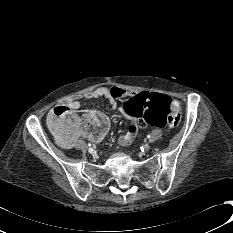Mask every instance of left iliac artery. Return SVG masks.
<instances>
[{"label": "left iliac artery", "instance_id": "obj_1", "mask_svg": "<svg viewBox=\"0 0 233 233\" xmlns=\"http://www.w3.org/2000/svg\"><path fill=\"white\" fill-rule=\"evenodd\" d=\"M147 138H148V139H151V135H150V134H149V135H147Z\"/></svg>", "mask_w": 233, "mask_h": 233}]
</instances>
